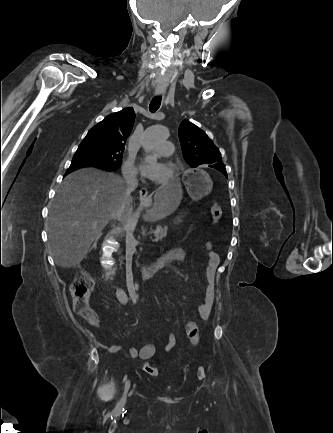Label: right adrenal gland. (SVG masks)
<instances>
[{"mask_svg":"<svg viewBox=\"0 0 333 433\" xmlns=\"http://www.w3.org/2000/svg\"><path fill=\"white\" fill-rule=\"evenodd\" d=\"M96 246H97V242H94V244L92 245V247L89 249V252H91V250H92L93 248H96Z\"/></svg>","mask_w":333,"mask_h":433,"instance_id":"2a0ac1e0","label":"right adrenal gland"}]
</instances>
